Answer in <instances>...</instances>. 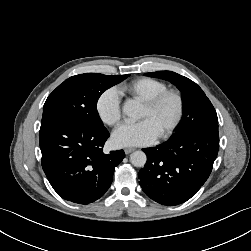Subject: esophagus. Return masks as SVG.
Returning a JSON list of instances; mask_svg holds the SVG:
<instances>
[{
  "label": "esophagus",
  "instance_id": "1",
  "mask_svg": "<svg viewBox=\"0 0 251 251\" xmlns=\"http://www.w3.org/2000/svg\"><path fill=\"white\" fill-rule=\"evenodd\" d=\"M133 151H134L133 148H125V149H124L125 154H130V153L133 152Z\"/></svg>",
  "mask_w": 251,
  "mask_h": 251
}]
</instances>
